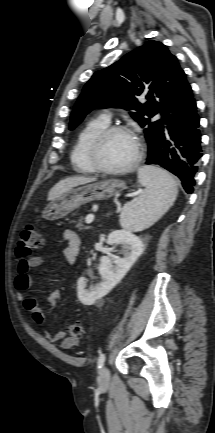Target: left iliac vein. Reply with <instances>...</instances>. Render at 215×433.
<instances>
[{
  "instance_id": "obj_1",
  "label": "left iliac vein",
  "mask_w": 215,
  "mask_h": 433,
  "mask_svg": "<svg viewBox=\"0 0 215 433\" xmlns=\"http://www.w3.org/2000/svg\"><path fill=\"white\" fill-rule=\"evenodd\" d=\"M109 370L106 366L100 369V374L98 376V382L102 385L107 384L109 381Z\"/></svg>"
}]
</instances>
